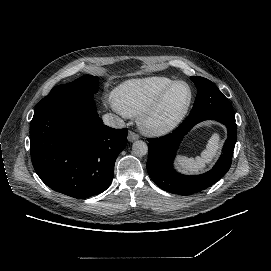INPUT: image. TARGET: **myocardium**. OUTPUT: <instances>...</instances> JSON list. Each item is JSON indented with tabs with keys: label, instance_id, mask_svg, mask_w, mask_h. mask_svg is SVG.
Here are the masks:
<instances>
[{
	"label": "myocardium",
	"instance_id": "f54148a6",
	"mask_svg": "<svg viewBox=\"0 0 271 271\" xmlns=\"http://www.w3.org/2000/svg\"><path fill=\"white\" fill-rule=\"evenodd\" d=\"M187 84L190 88V98L186 106L183 108V110L173 117L171 120L167 122H158L156 120V117L158 113L163 109L169 95L171 94L172 90L175 86L178 84ZM195 97V91L193 86L186 80H176L172 82L165 90L164 92L159 96V98L155 101V103L150 106L141 116V125L143 129L153 135H161L168 133L175 129L187 116L189 113L192 104L194 102Z\"/></svg>",
	"mask_w": 271,
	"mask_h": 271
}]
</instances>
